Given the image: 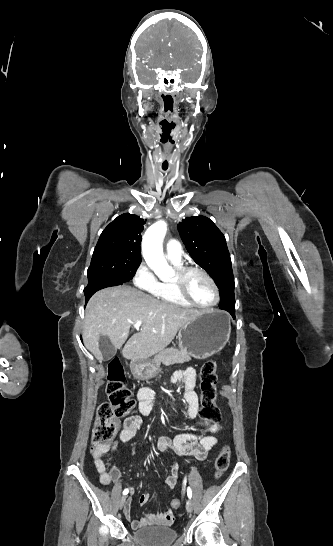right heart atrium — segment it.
I'll return each instance as SVG.
<instances>
[{"label":"right heart atrium","mask_w":333,"mask_h":546,"mask_svg":"<svg viewBox=\"0 0 333 546\" xmlns=\"http://www.w3.org/2000/svg\"><path fill=\"white\" fill-rule=\"evenodd\" d=\"M133 283L138 289L153 296H157L160 291V282L145 262H142L136 269Z\"/></svg>","instance_id":"1"}]
</instances>
